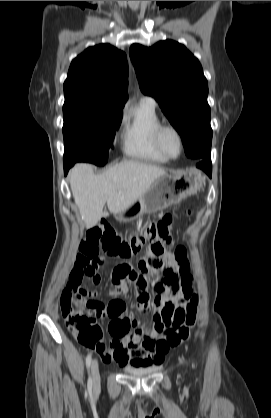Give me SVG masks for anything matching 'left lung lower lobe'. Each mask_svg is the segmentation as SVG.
<instances>
[{
    "instance_id": "obj_1",
    "label": "left lung lower lobe",
    "mask_w": 271,
    "mask_h": 418,
    "mask_svg": "<svg viewBox=\"0 0 271 418\" xmlns=\"http://www.w3.org/2000/svg\"><path fill=\"white\" fill-rule=\"evenodd\" d=\"M197 166L203 169L209 176H211L212 165H211L210 157L206 159H202V161L198 163Z\"/></svg>"
}]
</instances>
